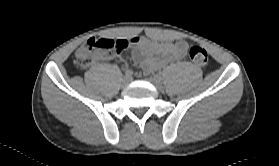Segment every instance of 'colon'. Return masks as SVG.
Here are the masks:
<instances>
[{"label": "colon", "mask_w": 279, "mask_h": 166, "mask_svg": "<svg viewBox=\"0 0 279 166\" xmlns=\"http://www.w3.org/2000/svg\"><path fill=\"white\" fill-rule=\"evenodd\" d=\"M128 45L129 42L124 39L113 40L109 38H91L77 49L74 55V62L77 67L86 68L95 60L108 56L113 51L121 52L125 50ZM188 55L190 60L197 66H205L208 63V53L200 46H190L188 49Z\"/></svg>", "instance_id": "colon-1"}]
</instances>
